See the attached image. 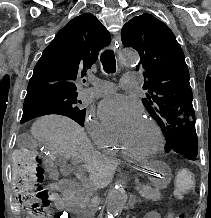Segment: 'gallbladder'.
Instances as JSON below:
<instances>
[{"instance_id": "obj_1", "label": "gallbladder", "mask_w": 211, "mask_h": 218, "mask_svg": "<svg viewBox=\"0 0 211 218\" xmlns=\"http://www.w3.org/2000/svg\"><path fill=\"white\" fill-rule=\"evenodd\" d=\"M55 164L59 166L62 176H70V174L79 175L80 171H83V166H70V164H66V160L62 156L56 158Z\"/></svg>"}]
</instances>
